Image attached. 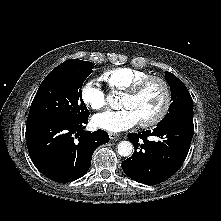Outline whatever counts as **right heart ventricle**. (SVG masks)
<instances>
[{
	"label": "right heart ventricle",
	"instance_id": "e07e8e85",
	"mask_svg": "<svg viewBox=\"0 0 221 221\" xmlns=\"http://www.w3.org/2000/svg\"><path fill=\"white\" fill-rule=\"evenodd\" d=\"M146 71L131 67H118L106 70L101 74V79L105 81L109 89L113 92H126L136 82L149 76Z\"/></svg>",
	"mask_w": 221,
	"mask_h": 221
}]
</instances>
